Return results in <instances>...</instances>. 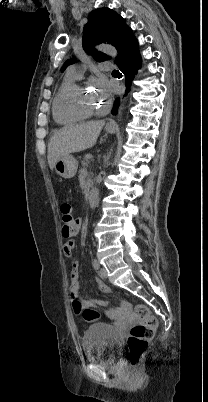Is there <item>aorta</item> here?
I'll use <instances>...</instances> for the list:
<instances>
[{
    "mask_svg": "<svg viewBox=\"0 0 208 402\" xmlns=\"http://www.w3.org/2000/svg\"><path fill=\"white\" fill-rule=\"evenodd\" d=\"M103 52H105V54H108V56H112V58H116L118 54L116 48H113V46H106Z\"/></svg>",
    "mask_w": 208,
    "mask_h": 402,
    "instance_id": "762f6f07",
    "label": "aorta"
}]
</instances>
